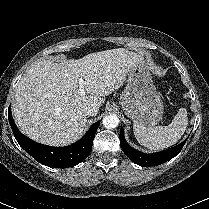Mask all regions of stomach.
I'll return each mask as SVG.
<instances>
[{"label":"stomach","instance_id":"1","mask_svg":"<svg viewBox=\"0 0 209 209\" xmlns=\"http://www.w3.org/2000/svg\"><path fill=\"white\" fill-rule=\"evenodd\" d=\"M120 100L127 117L142 126H154L162 119L164 105L153 84L150 67L144 60L128 72Z\"/></svg>","mask_w":209,"mask_h":209}]
</instances>
